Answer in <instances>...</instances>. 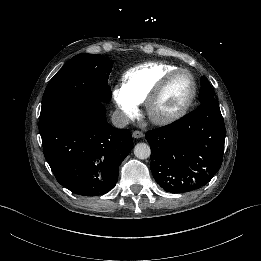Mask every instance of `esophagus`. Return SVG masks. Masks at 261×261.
<instances>
[{
  "mask_svg": "<svg viewBox=\"0 0 261 261\" xmlns=\"http://www.w3.org/2000/svg\"><path fill=\"white\" fill-rule=\"evenodd\" d=\"M132 136H133L134 138H136V139H139V138L144 137V133L141 132V131H134V132L132 133Z\"/></svg>",
  "mask_w": 261,
  "mask_h": 261,
  "instance_id": "obj_1",
  "label": "esophagus"
}]
</instances>
